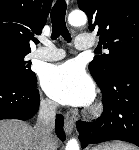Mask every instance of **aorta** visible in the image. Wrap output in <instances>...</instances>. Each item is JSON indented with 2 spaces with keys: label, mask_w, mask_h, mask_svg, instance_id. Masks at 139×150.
Returning a JSON list of instances; mask_svg holds the SVG:
<instances>
[{
  "label": "aorta",
  "mask_w": 139,
  "mask_h": 150,
  "mask_svg": "<svg viewBox=\"0 0 139 150\" xmlns=\"http://www.w3.org/2000/svg\"><path fill=\"white\" fill-rule=\"evenodd\" d=\"M68 22L71 26L78 27L86 24L87 16L83 11H73L68 16ZM65 150H80L77 139L72 138L66 144Z\"/></svg>",
  "instance_id": "aorta-1"
}]
</instances>
